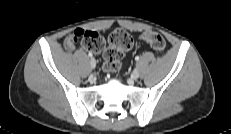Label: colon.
<instances>
[{
  "mask_svg": "<svg viewBox=\"0 0 231 134\" xmlns=\"http://www.w3.org/2000/svg\"><path fill=\"white\" fill-rule=\"evenodd\" d=\"M75 41H81L82 45L95 53L104 50L105 68L115 72L120 67V61L125 51L132 47L133 40L128 32L118 28L109 36V45L106 47L104 36L94 30L76 29L73 33ZM143 41L156 51H163L166 47L162 35L154 31H146L142 35Z\"/></svg>",
  "mask_w": 231,
  "mask_h": 134,
  "instance_id": "1",
  "label": "colon"
}]
</instances>
